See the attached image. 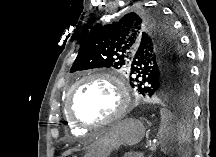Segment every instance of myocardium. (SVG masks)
<instances>
[{
	"label": "myocardium",
	"instance_id": "myocardium-1",
	"mask_svg": "<svg viewBox=\"0 0 216 157\" xmlns=\"http://www.w3.org/2000/svg\"><path fill=\"white\" fill-rule=\"evenodd\" d=\"M90 80H102L104 82H107L111 84L117 91V107L115 111L113 112L112 115L100 121H92V122L84 121L79 117H77L73 112L72 97H73L74 90L80 84ZM129 106H130V95L125 81H123L120 77H118L113 73L104 72V71L92 72L78 79L68 91L66 104H65L68 119L73 123H75L76 125L84 128L111 125L119 121L125 115Z\"/></svg>",
	"mask_w": 216,
	"mask_h": 157
}]
</instances>
